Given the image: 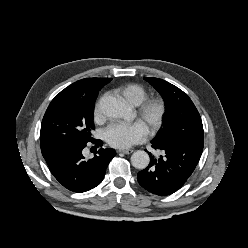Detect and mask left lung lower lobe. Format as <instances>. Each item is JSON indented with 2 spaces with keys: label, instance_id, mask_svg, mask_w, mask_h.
Instances as JSON below:
<instances>
[{
  "label": "left lung lower lobe",
  "instance_id": "obj_1",
  "mask_svg": "<svg viewBox=\"0 0 248 248\" xmlns=\"http://www.w3.org/2000/svg\"><path fill=\"white\" fill-rule=\"evenodd\" d=\"M152 144L163 156L154 159L149 153L151 162L147 168L138 172L137 180L145 190L155 195L173 194L193 173L201 157L203 145L186 141H152Z\"/></svg>",
  "mask_w": 248,
  "mask_h": 248
}]
</instances>
